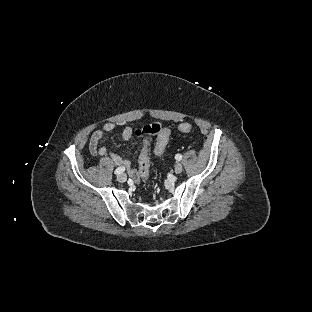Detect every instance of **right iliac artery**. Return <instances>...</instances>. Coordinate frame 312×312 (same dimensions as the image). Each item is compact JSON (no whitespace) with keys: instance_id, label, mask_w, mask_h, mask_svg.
<instances>
[{"instance_id":"82829eb1","label":"right iliac artery","mask_w":312,"mask_h":312,"mask_svg":"<svg viewBox=\"0 0 312 312\" xmlns=\"http://www.w3.org/2000/svg\"><path fill=\"white\" fill-rule=\"evenodd\" d=\"M124 171H125V167H119L114 171V173L116 175H119V174H122Z\"/></svg>"}]
</instances>
